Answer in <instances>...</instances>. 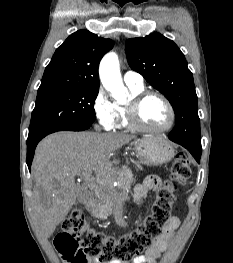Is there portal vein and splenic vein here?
<instances>
[{"label": "portal vein and splenic vein", "instance_id": "portal-vein-and-splenic-vein-1", "mask_svg": "<svg viewBox=\"0 0 233 263\" xmlns=\"http://www.w3.org/2000/svg\"><path fill=\"white\" fill-rule=\"evenodd\" d=\"M92 171H86L82 173V178L84 182L88 185H92L93 177H92Z\"/></svg>", "mask_w": 233, "mask_h": 263}]
</instances>
